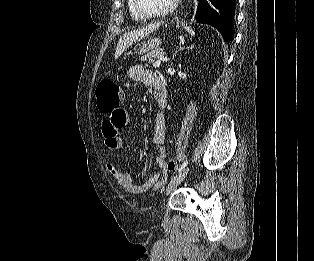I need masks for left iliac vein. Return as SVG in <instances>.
Listing matches in <instances>:
<instances>
[{
    "label": "left iliac vein",
    "instance_id": "1",
    "mask_svg": "<svg viewBox=\"0 0 314 261\" xmlns=\"http://www.w3.org/2000/svg\"><path fill=\"white\" fill-rule=\"evenodd\" d=\"M189 172V167H185L182 171H180L177 175H175L169 182L166 188V194H170L176 187L184 180Z\"/></svg>",
    "mask_w": 314,
    "mask_h": 261
}]
</instances>
